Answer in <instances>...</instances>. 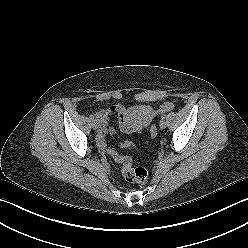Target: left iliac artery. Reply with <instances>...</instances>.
<instances>
[{
  "mask_svg": "<svg viewBox=\"0 0 248 248\" xmlns=\"http://www.w3.org/2000/svg\"><path fill=\"white\" fill-rule=\"evenodd\" d=\"M165 118H166V115H163V116H162V119H165Z\"/></svg>",
  "mask_w": 248,
  "mask_h": 248,
  "instance_id": "44dca946",
  "label": "left iliac artery"
}]
</instances>
